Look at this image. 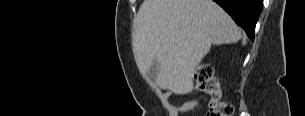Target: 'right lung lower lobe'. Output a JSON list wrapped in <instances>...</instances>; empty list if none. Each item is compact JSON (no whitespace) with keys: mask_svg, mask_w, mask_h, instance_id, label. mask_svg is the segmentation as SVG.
<instances>
[{"mask_svg":"<svg viewBox=\"0 0 305 116\" xmlns=\"http://www.w3.org/2000/svg\"><path fill=\"white\" fill-rule=\"evenodd\" d=\"M254 40L255 26L262 10L263 0H214Z\"/></svg>","mask_w":305,"mask_h":116,"instance_id":"98d812e1","label":"right lung lower lobe"}]
</instances>
